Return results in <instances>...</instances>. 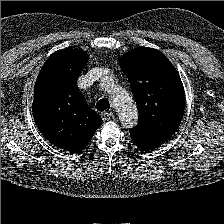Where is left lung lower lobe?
Instances as JSON below:
<instances>
[{"label": "left lung lower lobe", "instance_id": "0a47b994", "mask_svg": "<svg viewBox=\"0 0 224 224\" xmlns=\"http://www.w3.org/2000/svg\"><path fill=\"white\" fill-rule=\"evenodd\" d=\"M130 135H131V139L133 140V142L139 148H141L143 151L153 150V149L161 146L159 143L153 141L152 139H150L146 135H144L142 133H139L137 131L130 130Z\"/></svg>", "mask_w": 224, "mask_h": 224}]
</instances>
